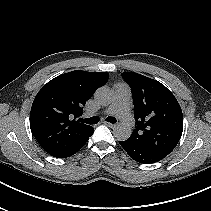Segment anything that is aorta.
Returning <instances> with one entry per match:
<instances>
[{"instance_id":"1","label":"aorta","mask_w":211,"mask_h":211,"mask_svg":"<svg viewBox=\"0 0 211 211\" xmlns=\"http://www.w3.org/2000/svg\"><path fill=\"white\" fill-rule=\"evenodd\" d=\"M95 99L100 103H109L112 100V92L106 87H100L95 93ZM130 126L120 123L113 129L114 137L119 141H125L131 136Z\"/></svg>"}]
</instances>
